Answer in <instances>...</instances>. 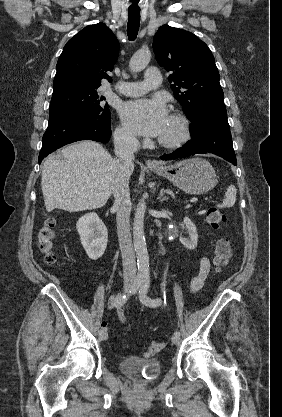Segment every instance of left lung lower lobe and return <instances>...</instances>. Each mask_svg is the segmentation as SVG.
<instances>
[{
	"label": "left lung lower lobe",
	"instance_id": "left-lung-lower-lobe-1",
	"mask_svg": "<svg viewBox=\"0 0 282 417\" xmlns=\"http://www.w3.org/2000/svg\"><path fill=\"white\" fill-rule=\"evenodd\" d=\"M195 114L196 117L190 125L192 140L176 152L165 154L160 159L171 160L194 154L213 153L236 165L225 105L204 107Z\"/></svg>",
	"mask_w": 282,
	"mask_h": 417
}]
</instances>
